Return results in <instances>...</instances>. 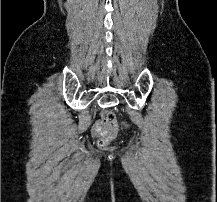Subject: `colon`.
<instances>
[{
	"label": "colon",
	"mask_w": 217,
	"mask_h": 202,
	"mask_svg": "<svg viewBox=\"0 0 217 202\" xmlns=\"http://www.w3.org/2000/svg\"><path fill=\"white\" fill-rule=\"evenodd\" d=\"M101 119H104L108 126H112L113 129H118V124H116V116L112 111H104L103 114L100 115ZM115 133L117 130H114V133H108V137H98L97 143L101 148H106L109 146V142H111V138H115Z\"/></svg>",
	"instance_id": "obj_1"
}]
</instances>
